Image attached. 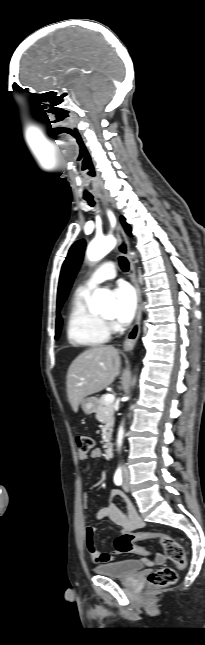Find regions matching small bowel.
Listing matches in <instances>:
<instances>
[{"mask_svg":"<svg viewBox=\"0 0 205 645\" xmlns=\"http://www.w3.org/2000/svg\"><path fill=\"white\" fill-rule=\"evenodd\" d=\"M101 456H102L101 450L99 448H94L88 454L79 453L78 459L80 461H86L89 458L98 459ZM116 496H119L123 499L126 506V513H124L119 507H117L112 502V499ZM91 502H92L91 497L85 493L83 495V507L85 510L89 508ZM105 518L110 519L114 524L122 528V535L131 534L132 531L140 529L144 526V522L140 518L133 503L119 489L111 490L108 497L107 505L100 508L95 515L96 521H102ZM134 534H138V533H134ZM93 535H94V528L92 526L86 527L84 540H85V546L88 551L91 562L96 565L113 562L116 556L120 553L117 552L115 549L111 553L99 552L95 547ZM155 560L156 562L161 563L163 562L164 557L159 554L156 556ZM142 561L146 565H150L153 562L152 559L147 556L144 557Z\"/></svg>","mask_w":205,"mask_h":645,"instance_id":"c3829d8e","label":"small bowel"}]
</instances>
